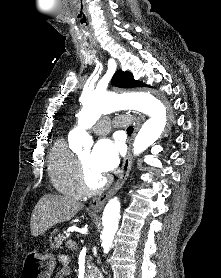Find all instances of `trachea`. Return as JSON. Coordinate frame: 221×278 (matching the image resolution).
I'll return each instance as SVG.
<instances>
[{
	"label": "trachea",
	"mask_w": 221,
	"mask_h": 278,
	"mask_svg": "<svg viewBox=\"0 0 221 278\" xmlns=\"http://www.w3.org/2000/svg\"><path fill=\"white\" fill-rule=\"evenodd\" d=\"M127 133H128V134H132V133H133V127L129 126V127L127 128Z\"/></svg>",
	"instance_id": "trachea-1"
}]
</instances>
